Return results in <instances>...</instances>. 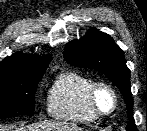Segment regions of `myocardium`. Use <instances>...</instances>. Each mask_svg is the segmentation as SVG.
Wrapping results in <instances>:
<instances>
[{"label":"myocardium","mask_w":147,"mask_h":131,"mask_svg":"<svg viewBox=\"0 0 147 131\" xmlns=\"http://www.w3.org/2000/svg\"><path fill=\"white\" fill-rule=\"evenodd\" d=\"M105 88L110 91L113 97V106L109 111H102L97 104L96 96L97 92L99 89ZM87 100H88V106L91 110V112L97 117V118H102V117H107L113 114L119 103V97L116 89L114 88L113 85L106 81H95L91 84L88 94H87Z\"/></svg>","instance_id":"myocardium-1"}]
</instances>
